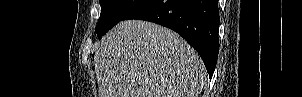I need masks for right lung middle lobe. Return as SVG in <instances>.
Listing matches in <instances>:
<instances>
[{"label":"right lung middle lobe","mask_w":302,"mask_h":97,"mask_svg":"<svg viewBox=\"0 0 302 97\" xmlns=\"http://www.w3.org/2000/svg\"><path fill=\"white\" fill-rule=\"evenodd\" d=\"M142 0H99L101 14L95 31L101 38Z\"/></svg>","instance_id":"dd1d6c3e"}]
</instances>
